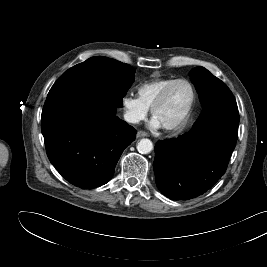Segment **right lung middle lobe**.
Segmentation results:
<instances>
[{"label":"right lung middle lobe","instance_id":"1","mask_svg":"<svg viewBox=\"0 0 267 267\" xmlns=\"http://www.w3.org/2000/svg\"><path fill=\"white\" fill-rule=\"evenodd\" d=\"M135 69L107 57H92L68 69L50 89L43 108L71 97L94 98L122 106V99L134 82Z\"/></svg>","mask_w":267,"mask_h":267}]
</instances>
